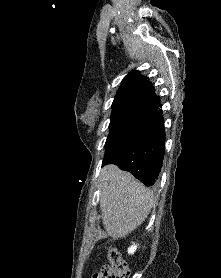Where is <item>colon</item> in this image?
Masks as SVG:
<instances>
[{
    "mask_svg": "<svg viewBox=\"0 0 221 278\" xmlns=\"http://www.w3.org/2000/svg\"><path fill=\"white\" fill-rule=\"evenodd\" d=\"M109 265L103 266L92 278H128L129 272L119 251L110 248L108 251Z\"/></svg>",
    "mask_w": 221,
    "mask_h": 278,
    "instance_id": "colon-1",
    "label": "colon"
}]
</instances>
